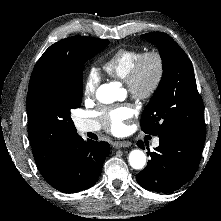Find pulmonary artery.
<instances>
[{
    "mask_svg": "<svg viewBox=\"0 0 221 221\" xmlns=\"http://www.w3.org/2000/svg\"><path fill=\"white\" fill-rule=\"evenodd\" d=\"M76 128L80 133L94 132L99 130V124L94 120L79 119L76 121ZM153 145L158 146L159 140H154Z\"/></svg>",
    "mask_w": 221,
    "mask_h": 221,
    "instance_id": "e3ab8cb5",
    "label": "pulmonary artery"
}]
</instances>
